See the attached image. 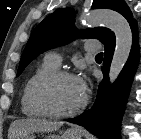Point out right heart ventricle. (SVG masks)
Here are the masks:
<instances>
[{
	"label": "right heart ventricle",
	"mask_w": 141,
	"mask_h": 139,
	"mask_svg": "<svg viewBox=\"0 0 141 139\" xmlns=\"http://www.w3.org/2000/svg\"><path fill=\"white\" fill-rule=\"evenodd\" d=\"M56 70L57 66L45 58L26 79L21 93V109L24 115L32 118L47 117L37 102L36 90L39 83Z\"/></svg>",
	"instance_id": "1"
}]
</instances>
